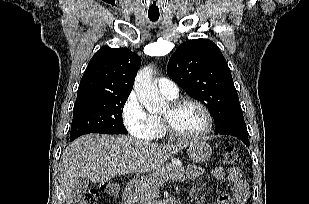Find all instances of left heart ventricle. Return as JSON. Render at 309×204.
<instances>
[{"label":"left heart ventricle","mask_w":309,"mask_h":204,"mask_svg":"<svg viewBox=\"0 0 309 204\" xmlns=\"http://www.w3.org/2000/svg\"><path fill=\"white\" fill-rule=\"evenodd\" d=\"M162 115H170L175 130L185 135H195L204 130L206 118L203 111L195 104L187 103L175 112H169L167 107Z\"/></svg>","instance_id":"b2bd125f"}]
</instances>
